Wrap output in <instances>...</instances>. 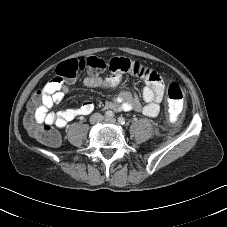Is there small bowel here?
<instances>
[{
  "instance_id": "1",
  "label": "small bowel",
  "mask_w": 227,
  "mask_h": 227,
  "mask_svg": "<svg viewBox=\"0 0 227 227\" xmlns=\"http://www.w3.org/2000/svg\"><path fill=\"white\" fill-rule=\"evenodd\" d=\"M132 65L133 62L127 59H113L111 61L112 75L104 78L90 75L84 79V85L90 88L102 87L118 92V95L107 105L110 110L142 111L149 117H155L160 111V103L165 94L163 81L160 75L152 70L150 75L142 76L146 81V86L141 93L145 102V105L142 106L134 96L119 87L122 79L121 71L133 72ZM69 92V85L63 84L56 91L46 93L42 101L43 105L33 108L35 120L38 123L62 128L77 116L88 115L94 110V103L91 100H86L77 108L49 112V109L60 103Z\"/></svg>"
}]
</instances>
